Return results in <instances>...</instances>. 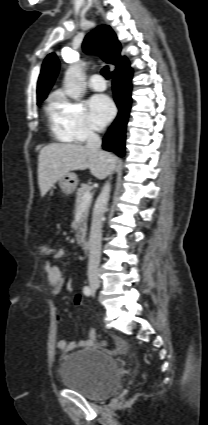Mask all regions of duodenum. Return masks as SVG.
Segmentation results:
<instances>
[{"label": "duodenum", "instance_id": "duodenum-1", "mask_svg": "<svg viewBox=\"0 0 208 425\" xmlns=\"http://www.w3.org/2000/svg\"><path fill=\"white\" fill-rule=\"evenodd\" d=\"M81 247H82V249H83L84 252H88L89 251V244H88L87 241H85V240L82 241Z\"/></svg>", "mask_w": 208, "mask_h": 425}]
</instances>
